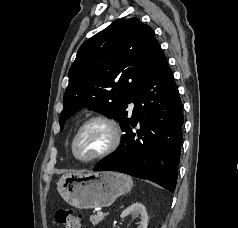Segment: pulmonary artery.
Segmentation results:
<instances>
[{
    "label": "pulmonary artery",
    "mask_w": 238,
    "mask_h": 228,
    "mask_svg": "<svg viewBox=\"0 0 238 228\" xmlns=\"http://www.w3.org/2000/svg\"><path fill=\"white\" fill-rule=\"evenodd\" d=\"M134 108V104H130V109H133Z\"/></svg>",
    "instance_id": "obj_1"
}]
</instances>
